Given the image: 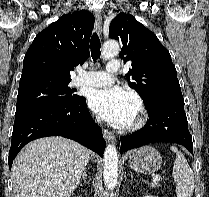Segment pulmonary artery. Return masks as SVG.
Masks as SVG:
<instances>
[{
  "mask_svg": "<svg viewBox=\"0 0 209 197\" xmlns=\"http://www.w3.org/2000/svg\"><path fill=\"white\" fill-rule=\"evenodd\" d=\"M120 69L117 59L108 63L106 71H89L75 81L77 86L101 87L107 86L114 81L113 75Z\"/></svg>",
  "mask_w": 209,
  "mask_h": 197,
  "instance_id": "pulmonary-artery-1",
  "label": "pulmonary artery"
}]
</instances>
